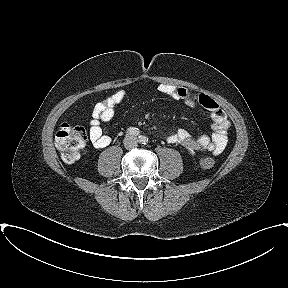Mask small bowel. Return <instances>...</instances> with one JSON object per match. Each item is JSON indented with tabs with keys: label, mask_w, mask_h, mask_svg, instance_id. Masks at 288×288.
I'll list each match as a JSON object with an SVG mask.
<instances>
[{
	"label": "small bowel",
	"mask_w": 288,
	"mask_h": 288,
	"mask_svg": "<svg viewBox=\"0 0 288 288\" xmlns=\"http://www.w3.org/2000/svg\"><path fill=\"white\" fill-rule=\"evenodd\" d=\"M158 90L174 100L182 101L186 106H201L205 108L210 112L212 119L214 131L211 136L202 135L195 138L187 130L179 129L168 136L167 141L169 143L182 145L191 155H195L198 152L219 154L225 149L230 121L214 99L206 94H192L184 87L171 84H160ZM125 97L126 92L120 90L94 106L90 121L89 137L96 148H104L111 143L112 139L105 123L114 117L116 107L123 102Z\"/></svg>",
	"instance_id": "obj_1"
}]
</instances>
